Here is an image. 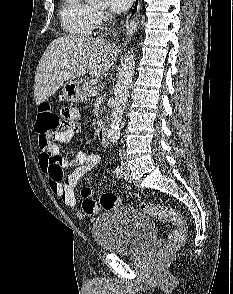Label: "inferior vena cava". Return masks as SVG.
<instances>
[{
    "label": "inferior vena cava",
    "instance_id": "inferior-vena-cava-1",
    "mask_svg": "<svg viewBox=\"0 0 233 294\" xmlns=\"http://www.w3.org/2000/svg\"><path fill=\"white\" fill-rule=\"evenodd\" d=\"M119 157H120L121 160L123 159V156H122L121 150H119Z\"/></svg>",
    "mask_w": 233,
    "mask_h": 294
}]
</instances>
